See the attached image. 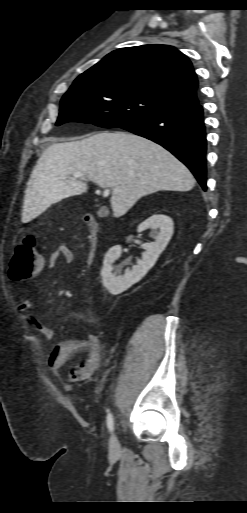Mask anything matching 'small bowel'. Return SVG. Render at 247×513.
I'll list each match as a JSON object with an SVG mask.
<instances>
[{"label":"small bowel","instance_id":"obj_1","mask_svg":"<svg viewBox=\"0 0 247 513\" xmlns=\"http://www.w3.org/2000/svg\"><path fill=\"white\" fill-rule=\"evenodd\" d=\"M61 260L65 264L74 263V252L66 246H60L50 254L48 265L50 268H54ZM18 310L45 342H51L54 339V330L48 327L31 311L28 297L23 296L20 299L18 303ZM77 318L84 320L87 323L92 322V317L82 314H78ZM102 349V343L95 335H88L82 338L71 340H63L57 342L51 347L46 358V364L50 369L58 370L67 364V362H69L71 359L86 353V359L72 366L67 374L70 382L89 381L94 377L100 366Z\"/></svg>","mask_w":247,"mask_h":513}]
</instances>
